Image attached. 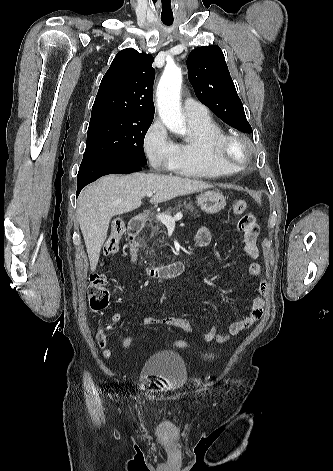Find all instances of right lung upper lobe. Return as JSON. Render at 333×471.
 <instances>
[{
	"label": "right lung upper lobe",
	"instance_id": "right-lung-upper-lobe-1",
	"mask_svg": "<svg viewBox=\"0 0 333 471\" xmlns=\"http://www.w3.org/2000/svg\"><path fill=\"white\" fill-rule=\"evenodd\" d=\"M153 60L151 54L133 48L118 52L101 81L91 117L126 114L153 118Z\"/></svg>",
	"mask_w": 333,
	"mask_h": 471
}]
</instances>
